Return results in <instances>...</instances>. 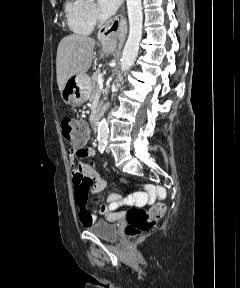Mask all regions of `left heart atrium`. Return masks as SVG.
Here are the masks:
<instances>
[{"mask_svg": "<svg viewBox=\"0 0 240 288\" xmlns=\"http://www.w3.org/2000/svg\"><path fill=\"white\" fill-rule=\"evenodd\" d=\"M121 2L122 0H98L101 11L106 15L113 13Z\"/></svg>", "mask_w": 240, "mask_h": 288, "instance_id": "obj_1", "label": "left heart atrium"}]
</instances>
